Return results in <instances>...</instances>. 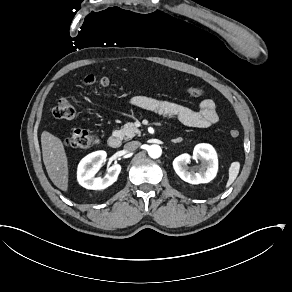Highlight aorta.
I'll return each instance as SVG.
<instances>
[{
	"mask_svg": "<svg viewBox=\"0 0 292 292\" xmlns=\"http://www.w3.org/2000/svg\"><path fill=\"white\" fill-rule=\"evenodd\" d=\"M161 153H162V149L159 145H151L149 146V149H148V154L151 158H158L161 156Z\"/></svg>",
	"mask_w": 292,
	"mask_h": 292,
	"instance_id": "762f6f07",
	"label": "aorta"
}]
</instances>
